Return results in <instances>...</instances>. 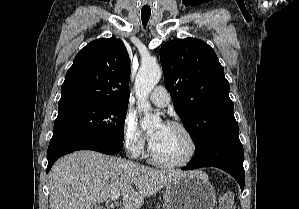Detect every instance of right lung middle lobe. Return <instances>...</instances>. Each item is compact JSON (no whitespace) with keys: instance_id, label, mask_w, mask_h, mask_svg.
Here are the masks:
<instances>
[{"instance_id":"dd1d6c3e","label":"right lung middle lobe","mask_w":299,"mask_h":209,"mask_svg":"<svg viewBox=\"0 0 299 209\" xmlns=\"http://www.w3.org/2000/svg\"><path fill=\"white\" fill-rule=\"evenodd\" d=\"M128 104L77 102L58 104L54 130L69 129L123 143Z\"/></svg>"}]
</instances>
